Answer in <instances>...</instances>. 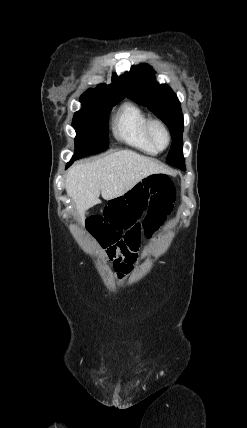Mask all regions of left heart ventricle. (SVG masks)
Wrapping results in <instances>:
<instances>
[{
	"instance_id": "obj_1",
	"label": "left heart ventricle",
	"mask_w": 247,
	"mask_h": 428,
	"mask_svg": "<svg viewBox=\"0 0 247 428\" xmlns=\"http://www.w3.org/2000/svg\"><path fill=\"white\" fill-rule=\"evenodd\" d=\"M154 137L158 145L164 146L166 144V136L160 129L156 128L154 130Z\"/></svg>"
}]
</instances>
